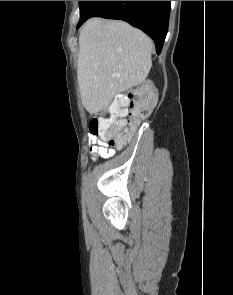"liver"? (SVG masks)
Segmentation results:
<instances>
[{
	"mask_svg": "<svg viewBox=\"0 0 233 295\" xmlns=\"http://www.w3.org/2000/svg\"><path fill=\"white\" fill-rule=\"evenodd\" d=\"M152 40L126 22L91 18L81 28L77 79L85 109L96 114L113 98L145 81Z\"/></svg>",
	"mask_w": 233,
	"mask_h": 295,
	"instance_id": "liver-1",
	"label": "liver"
}]
</instances>
